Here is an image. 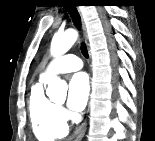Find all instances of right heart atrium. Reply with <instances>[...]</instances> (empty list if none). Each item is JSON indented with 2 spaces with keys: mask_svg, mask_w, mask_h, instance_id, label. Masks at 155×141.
Masks as SVG:
<instances>
[{
  "mask_svg": "<svg viewBox=\"0 0 155 141\" xmlns=\"http://www.w3.org/2000/svg\"><path fill=\"white\" fill-rule=\"evenodd\" d=\"M60 113L65 121L71 117L70 114L67 111H65L64 109H60Z\"/></svg>",
  "mask_w": 155,
  "mask_h": 141,
  "instance_id": "1",
  "label": "right heart atrium"
}]
</instances>
